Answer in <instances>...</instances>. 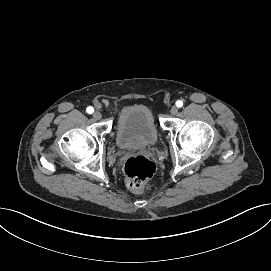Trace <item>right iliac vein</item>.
<instances>
[{"label":"right iliac vein","instance_id":"63e3f726","mask_svg":"<svg viewBox=\"0 0 271 271\" xmlns=\"http://www.w3.org/2000/svg\"><path fill=\"white\" fill-rule=\"evenodd\" d=\"M92 116L95 120H99L101 118V113L99 111H95Z\"/></svg>","mask_w":271,"mask_h":271}]
</instances>
